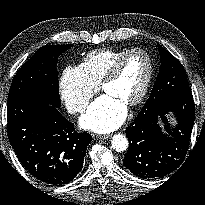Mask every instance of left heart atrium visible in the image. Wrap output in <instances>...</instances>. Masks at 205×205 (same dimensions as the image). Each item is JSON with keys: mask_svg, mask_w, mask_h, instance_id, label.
I'll return each instance as SVG.
<instances>
[{"mask_svg": "<svg viewBox=\"0 0 205 205\" xmlns=\"http://www.w3.org/2000/svg\"><path fill=\"white\" fill-rule=\"evenodd\" d=\"M125 105L109 94L97 98L81 117V125L97 133L117 129L125 120Z\"/></svg>", "mask_w": 205, "mask_h": 205, "instance_id": "left-heart-atrium-1", "label": "left heart atrium"}]
</instances>
